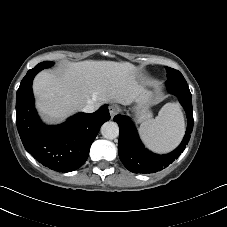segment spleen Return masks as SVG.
<instances>
[{
    "mask_svg": "<svg viewBox=\"0 0 227 227\" xmlns=\"http://www.w3.org/2000/svg\"><path fill=\"white\" fill-rule=\"evenodd\" d=\"M184 132V117L177 103L165 104L155 119H149L139 127L143 142L158 153H167L176 148Z\"/></svg>",
    "mask_w": 227,
    "mask_h": 227,
    "instance_id": "spleen-1",
    "label": "spleen"
}]
</instances>
